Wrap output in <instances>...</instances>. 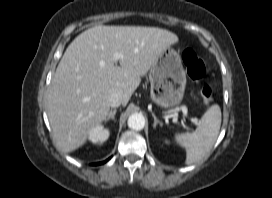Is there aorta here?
<instances>
[{"label": "aorta", "mask_w": 272, "mask_h": 198, "mask_svg": "<svg viewBox=\"0 0 272 198\" xmlns=\"http://www.w3.org/2000/svg\"><path fill=\"white\" fill-rule=\"evenodd\" d=\"M128 126L133 130H142L145 126V118L142 114L134 113L128 118Z\"/></svg>", "instance_id": "1"}]
</instances>
